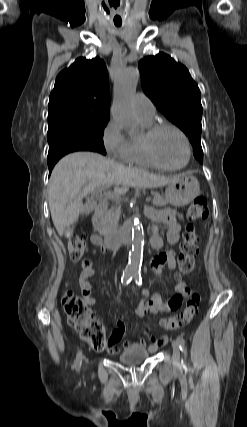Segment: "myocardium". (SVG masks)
<instances>
[{
	"label": "myocardium",
	"instance_id": "1",
	"mask_svg": "<svg viewBox=\"0 0 247 427\" xmlns=\"http://www.w3.org/2000/svg\"><path fill=\"white\" fill-rule=\"evenodd\" d=\"M166 128H170V129L174 130L175 132H177L180 135V137L182 138L184 145H185V150H186L185 161L183 162V164H181L180 166H177V167H170V166H166V165L162 164L158 160V158L156 157L155 152H154L155 137L157 136V134L161 130L166 129ZM142 146H143V150H144L146 157L154 165V167L165 170V171L182 170L189 164L190 159H191V145H190V141H189L186 133L180 127H178L176 124H173L171 122L153 123L151 126L146 128V131H145L144 135L142 136Z\"/></svg>",
	"mask_w": 247,
	"mask_h": 427
}]
</instances>
